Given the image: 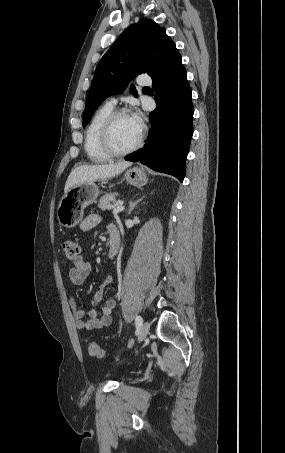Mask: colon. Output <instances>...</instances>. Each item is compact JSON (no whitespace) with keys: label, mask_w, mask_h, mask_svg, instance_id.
Wrapping results in <instances>:
<instances>
[{"label":"colon","mask_w":285,"mask_h":453,"mask_svg":"<svg viewBox=\"0 0 285 453\" xmlns=\"http://www.w3.org/2000/svg\"><path fill=\"white\" fill-rule=\"evenodd\" d=\"M62 250L68 260L75 261L81 255V247L79 243L71 238H67L62 243ZM89 355L95 358L105 357L104 350L94 341L87 343Z\"/></svg>","instance_id":"obj_1"}]
</instances>
